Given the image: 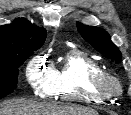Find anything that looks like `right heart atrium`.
Here are the masks:
<instances>
[{
	"label": "right heart atrium",
	"mask_w": 131,
	"mask_h": 115,
	"mask_svg": "<svg viewBox=\"0 0 131 115\" xmlns=\"http://www.w3.org/2000/svg\"><path fill=\"white\" fill-rule=\"evenodd\" d=\"M25 76L32 90L40 97L49 96L55 87V75L45 57L39 55L30 59Z\"/></svg>",
	"instance_id": "obj_1"
}]
</instances>
